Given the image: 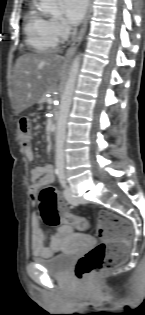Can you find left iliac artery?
<instances>
[{"label": "left iliac artery", "mask_w": 145, "mask_h": 315, "mask_svg": "<svg viewBox=\"0 0 145 315\" xmlns=\"http://www.w3.org/2000/svg\"><path fill=\"white\" fill-rule=\"evenodd\" d=\"M58 178H59V181H60V184L62 185V187H66L67 179H66L65 174L64 173L58 174Z\"/></svg>", "instance_id": "1"}]
</instances>
